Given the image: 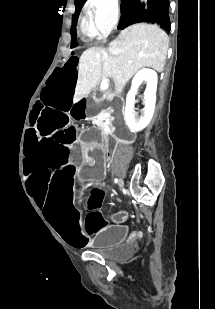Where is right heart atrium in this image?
Instances as JSON below:
<instances>
[{"mask_svg":"<svg viewBox=\"0 0 215 309\" xmlns=\"http://www.w3.org/2000/svg\"><path fill=\"white\" fill-rule=\"evenodd\" d=\"M91 7H97L89 15L94 36L102 39L115 30L118 24V10L115 0H90Z\"/></svg>","mask_w":215,"mask_h":309,"instance_id":"right-heart-atrium-1","label":"right heart atrium"}]
</instances>
